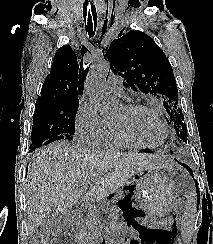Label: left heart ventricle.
<instances>
[{"label":"left heart ventricle","instance_id":"b2bd125f","mask_svg":"<svg viewBox=\"0 0 213 244\" xmlns=\"http://www.w3.org/2000/svg\"><path fill=\"white\" fill-rule=\"evenodd\" d=\"M112 122L129 137L144 144L155 145L163 137L160 123L153 114L145 110L130 111L122 107Z\"/></svg>","mask_w":213,"mask_h":244}]
</instances>
